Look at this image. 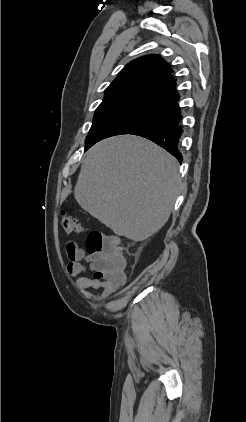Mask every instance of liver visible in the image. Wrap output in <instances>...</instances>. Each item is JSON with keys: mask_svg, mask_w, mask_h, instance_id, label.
<instances>
[{"mask_svg": "<svg viewBox=\"0 0 246 422\" xmlns=\"http://www.w3.org/2000/svg\"><path fill=\"white\" fill-rule=\"evenodd\" d=\"M181 188L172 155L147 139L122 135L88 150L74 197L116 235L139 242L166 224Z\"/></svg>", "mask_w": 246, "mask_h": 422, "instance_id": "liver-1", "label": "liver"}]
</instances>
